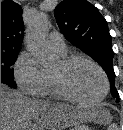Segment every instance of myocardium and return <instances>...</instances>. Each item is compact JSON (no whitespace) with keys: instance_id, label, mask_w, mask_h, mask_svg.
Wrapping results in <instances>:
<instances>
[{"instance_id":"myocardium-1","label":"myocardium","mask_w":123,"mask_h":130,"mask_svg":"<svg viewBox=\"0 0 123 130\" xmlns=\"http://www.w3.org/2000/svg\"><path fill=\"white\" fill-rule=\"evenodd\" d=\"M80 61L86 62L92 65L101 74L104 81V91L100 97L95 98V99H84V98L76 96L68 87L66 79H65V73L72 65ZM59 65H60V71L51 72V76H52V80L55 85V88L64 99L71 102H75V103H81V104H95V103L101 102L108 94L110 84H109L107 74L104 71V69L93 59L83 56V55H79V54H71V55L62 57L59 60Z\"/></svg>"}]
</instances>
